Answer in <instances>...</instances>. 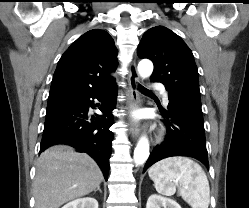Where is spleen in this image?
I'll list each match as a JSON object with an SVG mask.
<instances>
[{
    "label": "spleen",
    "mask_w": 249,
    "mask_h": 208,
    "mask_svg": "<svg viewBox=\"0 0 249 208\" xmlns=\"http://www.w3.org/2000/svg\"><path fill=\"white\" fill-rule=\"evenodd\" d=\"M156 191L172 196L174 181L179 182L180 195L192 208H208L210 187L202 167L187 157H169L155 163L148 171Z\"/></svg>",
    "instance_id": "1"
}]
</instances>
